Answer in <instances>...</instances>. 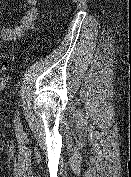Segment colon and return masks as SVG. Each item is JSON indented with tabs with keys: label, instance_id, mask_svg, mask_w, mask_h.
I'll use <instances>...</instances> for the list:
<instances>
[{
	"label": "colon",
	"instance_id": "1",
	"mask_svg": "<svg viewBox=\"0 0 131 177\" xmlns=\"http://www.w3.org/2000/svg\"><path fill=\"white\" fill-rule=\"evenodd\" d=\"M6 69L5 63H0V73L3 72Z\"/></svg>",
	"mask_w": 131,
	"mask_h": 177
}]
</instances>
